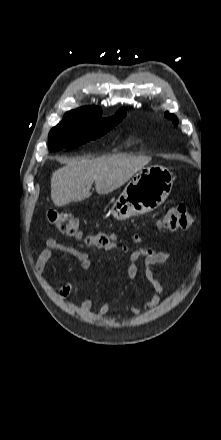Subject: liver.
<instances>
[{
	"label": "liver",
	"mask_w": 221,
	"mask_h": 440,
	"mask_svg": "<svg viewBox=\"0 0 221 440\" xmlns=\"http://www.w3.org/2000/svg\"><path fill=\"white\" fill-rule=\"evenodd\" d=\"M150 161L149 157L113 155L72 160L53 172L51 199L55 206L85 200L95 182L98 194H108L125 184Z\"/></svg>",
	"instance_id": "liver-1"
}]
</instances>
